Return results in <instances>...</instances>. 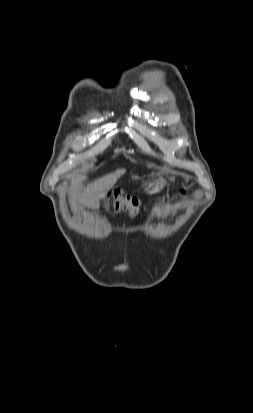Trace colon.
<instances>
[{
  "label": "colon",
  "instance_id": "1",
  "mask_svg": "<svg viewBox=\"0 0 253 413\" xmlns=\"http://www.w3.org/2000/svg\"><path fill=\"white\" fill-rule=\"evenodd\" d=\"M111 207L115 211H125L130 216H137L145 211V207L137 198L123 195L118 191L112 195Z\"/></svg>",
  "mask_w": 253,
  "mask_h": 413
}]
</instances>
